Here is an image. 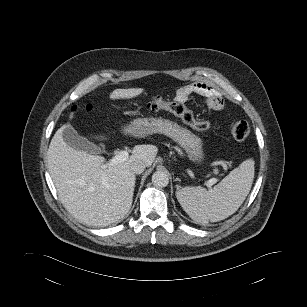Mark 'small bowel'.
I'll list each match as a JSON object with an SVG mask.
<instances>
[{
	"label": "small bowel",
	"mask_w": 307,
	"mask_h": 307,
	"mask_svg": "<svg viewBox=\"0 0 307 307\" xmlns=\"http://www.w3.org/2000/svg\"><path fill=\"white\" fill-rule=\"evenodd\" d=\"M198 94L205 98L206 104L214 110H220L224 107V100L218 91L211 85L204 82L190 83L181 87L176 95L177 102L186 103L191 95Z\"/></svg>",
	"instance_id": "c3829d8e"
}]
</instances>
